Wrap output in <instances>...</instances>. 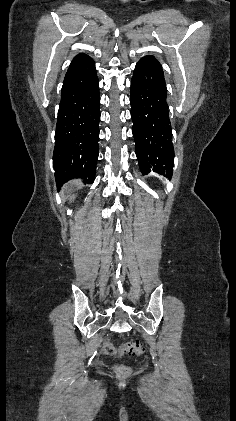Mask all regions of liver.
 Wrapping results in <instances>:
<instances>
[{
	"instance_id": "obj_1",
	"label": "liver",
	"mask_w": 236,
	"mask_h": 421,
	"mask_svg": "<svg viewBox=\"0 0 236 421\" xmlns=\"http://www.w3.org/2000/svg\"><path fill=\"white\" fill-rule=\"evenodd\" d=\"M72 184H82V182H79V180H73ZM64 188H66V186H64ZM70 198H74V194H72Z\"/></svg>"
}]
</instances>
